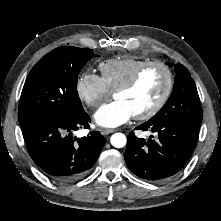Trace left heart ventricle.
Returning <instances> with one entry per match:
<instances>
[{
	"mask_svg": "<svg viewBox=\"0 0 221 221\" xmlns=\"http://www.w3.org/2000/svg\"><path fill=\"white\" fill-rule=\"evenodd\" d=\"M166 84V77L159 67L146 70L137 84L127 91L117 93L116 99L123 100L131 108L133 114L150 109L161 96Z\"/></svg>",
	"mask_w": 221,
	"mask_h": 221,
	"instance_id": "b2bd125f",
	"label": "left heart ventricle"
}]
</instances>
